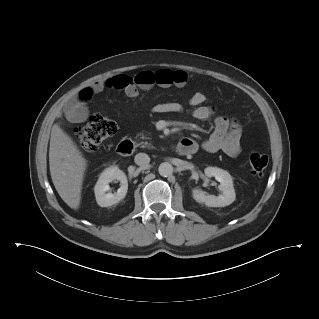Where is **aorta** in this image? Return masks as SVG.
<instances>
[{
  "instance_id": "762f6f07",
  "label": "aorta",
  "mask_w": 319,
  "mask_h": 319,
  "mask_svg": "<svg viewBox=\"0 0 319 319\" xmlns=\"http://www.w3.org/2000/svg\"><path fill=\"white\" fill-rule=\"evenodd\" d=\"M159 174L163 177H168L173 173V166L168 162H163L158 168Z\"/></svg>"
}]
</instances>
